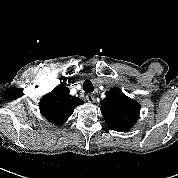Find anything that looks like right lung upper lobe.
Listing matches in <instances>:
<instances>
[{
  "label": "right lung upper lobe",
  "mask_w": 178,
  "mask_h": 178,
  "mask_svg": "<svg viewBox=\"0 0 178 178\" xmlns=\"http://www.w3.org/2000/svg\"><path fill=\"white\" fill-rule=\"evenodd\" d=\"M83 101L69 94V89L63 85L57 86L40 101L41 114L51 123L59 126L64 124L74 109Z\"/></svg>",
  "instance_id": "obj_1"
}]
</instances>
